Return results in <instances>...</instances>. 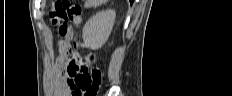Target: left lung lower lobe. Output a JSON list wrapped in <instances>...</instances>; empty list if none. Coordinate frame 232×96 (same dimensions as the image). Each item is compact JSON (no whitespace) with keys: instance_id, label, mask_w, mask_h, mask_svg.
Wrapping results in <instances>:
<instances>
[{"instance_id":"0a47b994","label":"left lung lower lobe","mask_w":232,"mask_h":96,"mask_svg":"<svg viewBox=\"0 0 232 96\" xmlns=\"http://www.w3.org/2000/svg\"><path fill=\"white\" fill-rule=\"evenodd\" d=\"M130 3L132 4V3H133V0H130Z\"/></svg>"}]
</instances>
